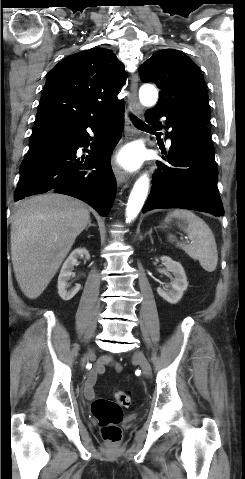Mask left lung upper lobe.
Instances as JSON below:
<instances>
[{"mask_svg": "<svg viewBox=\"0 0 245 479\" xmlns=\"http://www.w3.org/2000/svg\"><path fill=\"white\" fill-rule=\"evenodd\" d=\"M139 73L144 82H154L161 90L154 110L173 121L208 124L206 85L199 68L188 56L174 49L160 50L140 66Z\"/></svg>", "mask_w": 245, "mask_h": 479, "instance_id": "left-lung-upper-lobe-1", "label": "left lung upper lobe"}]
</instances>
